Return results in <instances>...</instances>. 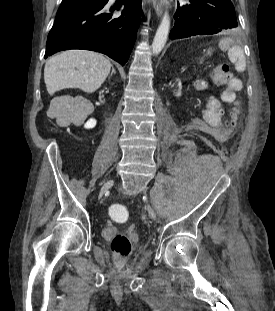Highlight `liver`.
<instances>
[{"instance_id":"1","label":"liver","mask_w":275,"mask_h":311,"mask_svg":"<svg viewBox=\"0 0 275 311\" xmlns=\"http://www.w3.org/2000/svg\"><path fill=\"white\" fill-rule=\"evenodd\" d=\"M111 63L103 55L87 50H69L48 59L44 81L50 95L66 88L93 93L110 73Z\"/></svg>"}]
</instances>
